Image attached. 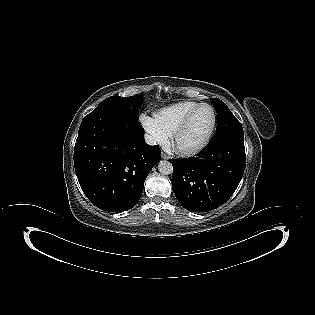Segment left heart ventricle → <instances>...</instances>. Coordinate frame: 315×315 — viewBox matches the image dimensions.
<instances>
[{
  "instance_id": "b2bd125f",
  "label": "left heart ventricle",
  "mask_w": 315,
  "mask_h": 315,
  "mask_svg": "<svg viewBox=\"0 0 315 315\" xmlns=\"http://www.w3.org/2000/svg\"><path fill=\"white\" fill-rule=\"evenodd\" d=\"M212 120L211 110L208 107L200 108L186 130L177 138L176 146L180 149H190L197 146L209 132Z\"/></svg>"
}]
</instances>
